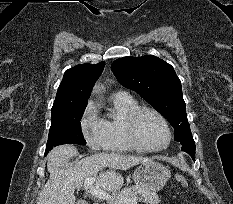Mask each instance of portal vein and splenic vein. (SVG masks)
<instances>
[{"label": "portal vein and splenic vein", "mask_w": 233, "mask_h": 204, "mask_svg": "<svg viewBox=\"0 0 233 204\" xmlns=\"http://www.w3.org/2000/svg\"><path fill=\"white\" fill-rule=\"evenodd\" d=\"M95 181H96L95 177H90L86 179L84 182L85 190L88 191L92 196L101 200H106L109 203L116 202V204H137L136 198L117 199L116 197L111 196L106 191L98 187H93Z\"/></svg>", "instance_id": "portal-vein-and-splenic-vein-1"}]
</instances>
